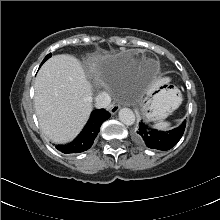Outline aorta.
I'll use <instances>...</instances> for the list:
<instances>
[{"instance_id":"1","label":"aorta","mask_w":220,"mask_h":220,"mask_svg":"<svg viewBox=\"0 0 220 220\" xmlns=\"http://www.w3.org/2000/svg\"><path fill=\"white\" fill-rule=\"evenodd\" d=\"M118 115H119V120L127 126L133 125L135 122V114L129 108H122L119 111Z\"/></svg>"}]
</instances>
